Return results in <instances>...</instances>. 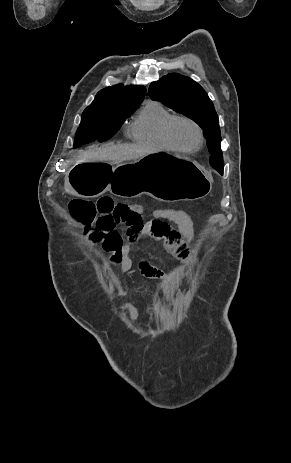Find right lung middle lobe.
<instances>
[{
  "instance_id": "obj_1",
  "label": "right lung middle lobe",
  "mask_w": 291,
  "mask_h": 463,
  "mask_svg": "<svg viewBox=\"0 0 291 463\" xmlns=\"http://www.w3.org/2000/svg\"><path fill=\"white\" fill-rule=\"evenodd\" d=\"M138 105L134 104L126 108L97 107L85 109L81 124L76 132L74 148L95 140L102 142L109 139Z\"/></svg>"
}]
</instances>
